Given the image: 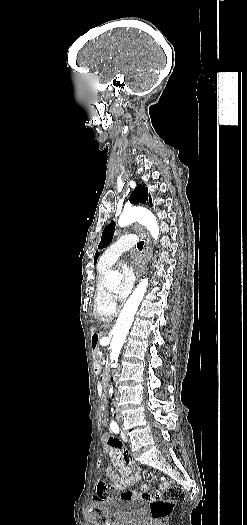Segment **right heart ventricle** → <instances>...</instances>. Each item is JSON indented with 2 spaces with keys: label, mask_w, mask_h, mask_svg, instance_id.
<instances>
[{
  "label": "right heart ventricle",
  "mask_w": 247,
  "mask_h": 525,
  "mask_svg": "<svg viewBox=\"0 0 247 525\" xmlns=\"http://www.w3.org/2000/svg\"><path fill=\"white\" fill-rule=\"evenodd\" d=\"M111 268L101 256L97 264L96 293L93 313L95 317H115L118 313L117 304H106V273Z\"/></svg>",
  "instance_id": "1"
}]
</instances>
